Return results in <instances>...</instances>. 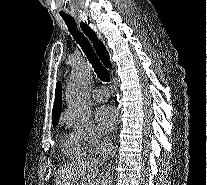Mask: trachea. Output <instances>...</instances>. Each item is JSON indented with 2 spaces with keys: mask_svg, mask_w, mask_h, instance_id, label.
Returning <instances> with one entry per match:
<instances>
[{
  "mask_svg": "<svg viewBox=\"0 0 207 185\" xmlns=\"http://www.w3.org/2000/svg\"><path fill=\"white\" fill-rule=\"evenodd\" d=\"M63 20L65 21L68 30L73 36L76 43L80 45L85 55L88 57L91 65L93 66L96 74L98 75V78L102 80V82H110V74L107 70V68L109 67L106 66L107 50L103 42L98 39L96 33H94L93 30H91V28L85 23L82 25V30L86 36L78 30L74 19L63 17ZM86 37H88L89 40H91V42L95 44L96 53L101 61L95 55L94 50ZM101 62L105 64L106 68L102 65Z\"/></svg>",
  "mask_w": 207,
  "mask_h": 185,
  "instance_id": "trachea-1",
  "label": "trachea"
}]
</instances>
